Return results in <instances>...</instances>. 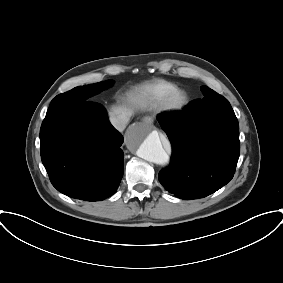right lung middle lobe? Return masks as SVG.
Wrapping results in <instances>:
<instances>
[{
    "mask_svg": "<svg viewBox=\"0 0 283 283\" xmlns=\"http://www.w3.org/2000/svg\"><path fill=\"white\" fill-rule=\"evenodd\" d=\"M114 82L112 80L102 81L99 83L84 85L75 87L72 90L65 92L63 94L57 95L50 103V107L57 102L61 101H78V100H87L89 97H92L101 91L112 86Z\"/></svg>",
    "mask_w": 283,
    "mask_h": 283,
    "instance_id": "right-lung-middle-lobe-1",
    "label": "right lung middle lobe"
}]
</instances>
